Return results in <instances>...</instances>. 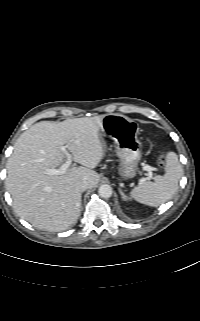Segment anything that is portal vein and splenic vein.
<instances>
[{
    "instance_id": "obj_1",
    "label": "portal vein and splenic vein",
    "mask_w": 200,
    "mask_h": 321,
    "mask_svg": "<svg viewBox=\"0 0 200 321\" xmlns=\"http://www.w3.org/2000/svg\"><path fill=\"white\" fill-rule=\"evenodd\" d=\"M66 148H67L66 146H61V150L64 152V154L67 157L66 162L59 169H47L45 171L46 174H49V175H61V174H64L66 172V170L69 168V166L72 163V155L67 151ZM143 169L145 171H148L147 179H152L153 178L152 171L154 170V168L149 166V165H144ZM142 180H145V178L142 179Z\"/></svg>"
}]
</instances>
